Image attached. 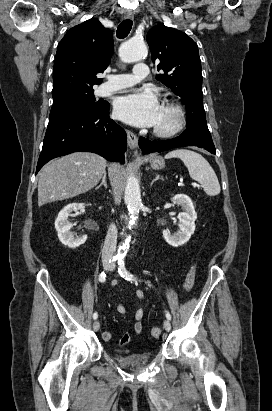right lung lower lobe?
<instances>
[{
	"instance_id": "right-lung-lower-lobe-1",
	"label": "right lung lower lobe",
	"mask_w": 272,
	"mask_h": 411,
	"mask_svg": "<svg viewBox=\"0 0 272 411\" xmlns=\"http://www.w3.org/2000/svg\"><path fill=\"white\" fill-rule=\"evenodd\" d=\"M127 136L109 119V103L49 120L36 173L53 158L72 152L89 151L107 160L124 162Z\"/></svg>"
}]
</instances>
